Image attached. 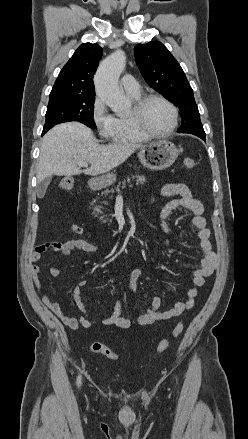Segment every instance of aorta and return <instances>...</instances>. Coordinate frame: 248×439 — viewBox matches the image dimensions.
<instances>
[{
    "label": "aorta",
    "instance_id": "762f6f07",
    "mask_svg": "<svg viewBox=\"0 0 248 439\" xmlns=\"http://www.w3.org/2000/svg\"><path fill=\"white\" fill-rule=\"evenodd\" d=\"M125 64V53L122 50H116L101 62L94 77L97 96L115 113L125 111L130 104L118 84Z\"/></svg>",
    "mask_w": 248,
    "mask_h": 439
}]
</instances>
